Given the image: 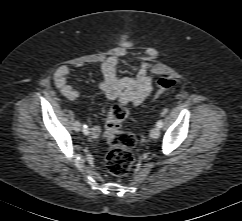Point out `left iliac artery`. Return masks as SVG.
Wrapping results in <instances>:
<instances>
[{
  "mask_svg": "<svg viewBox=\"0 0 242 221\" xmlns=\"http://www.w3.org/2000/svg\"><path fill=\"white\" fill-rule=\"evenodd\" d=\"M156 126H157L158 128H162V126H163V122H162V120H159V121L157 122Z\"/></svg>",
  "mask_w": 242,
  "mask_h": 221,
  "instance_id": "1",
  "label": "left iliac artery"
}]
</instances>
